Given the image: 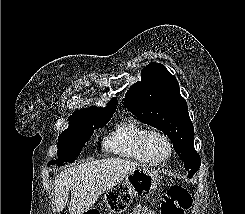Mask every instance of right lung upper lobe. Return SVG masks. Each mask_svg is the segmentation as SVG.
Instances as JSON below:
<instances>
[{
    "instance_id": "right-lung-upper-lobe-1",
    "label": "right lung upper lobe",
    "mask_w": 245,
    "mask_h": 214,
    "mask_svg": "<svg viewBox=\"0 0 245 214\" xmlns=\"http://www.w3.org/2000/svg\"><path fill=\"white\" fill-rule=\"evenodd\" d=\"M116 104H117L116 98H112L111 101L107 104L106 108L104 109L92 106L90 108L77 110L69 117V122L71 121V119L77 116L114 113L116 110Z\"/></svg>"
}]
</instances>
